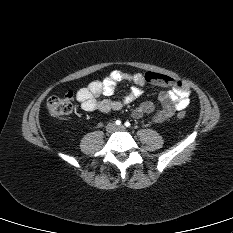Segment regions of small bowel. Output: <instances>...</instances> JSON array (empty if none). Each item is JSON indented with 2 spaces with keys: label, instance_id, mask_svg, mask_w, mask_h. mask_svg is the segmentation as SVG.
Returning <instances> with one entry per match:
<instances>
[{
  "label": "small bowel",
  "instance_id": "c3829d8e",
  "mask_svg": "<svg viewBox=\"0 0 233 233\" xmlns=\"http://www.w3.org/2000/svg\"><path fill=\"white\" fill-rule=\"evenodd\" d=\"M128 81L134 84L129 93L119 100L100 99V97L111 96L118 83ZM150 83L153 85L168 87L158 97L159 107L146 101L136 107L132 116L136 119L149 115L152 122L159 124L172 117L176 111L186 109L190 103V86L179 79L170 76L147 72L145 74H128L115 70L102 80H94L86 87L79 89L76 93V100L86 112L98 111L103 114L120 111L124 105L132 103L142 94L141 86Z\"/></svg>",
  "mask_w": 233,
  "mask_h": 233
}]
</instances>
